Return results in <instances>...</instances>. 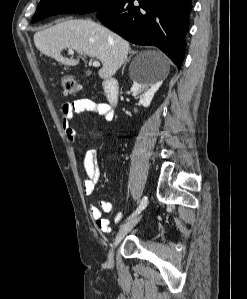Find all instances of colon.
Wrapping results in <instances>:
<instances>
[{
	"instance_id": "obj_1",
	"label": "colon",
	"mask_w": 247,
	"mask_h": 299,
	"mask_svg": "<svg viewBox=\"0 0 247 299\" xmlns=\"http://www.w3.org/2000/svg\"><path fill=\"white\" fill-rule=\"evenodd\" d=\"M61 85L65 94H75L81 90V86L69 74L62 75Z\"/></svg>"
}]
</instances>
